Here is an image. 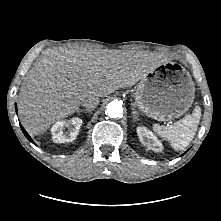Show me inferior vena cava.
<instances>
[{"label": "inferior vena cava", "instance_id": "inferior-vena-cava-1", "mask_svg": "<svg viewBox=\"0 0 221 221\" xmlns=\"http://www.w3.org/2000/svg\"><path fill=\"white\" fill-rule=\"evenodd\" d=\"M99 101L97 95H88L82 100V105L87 109H93L99 104Z\"/></svg>", "mask_w": 221, "mask_h": 221}]
</instances>
